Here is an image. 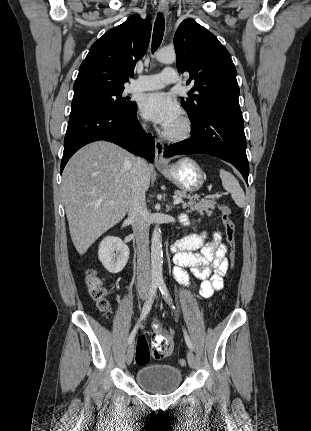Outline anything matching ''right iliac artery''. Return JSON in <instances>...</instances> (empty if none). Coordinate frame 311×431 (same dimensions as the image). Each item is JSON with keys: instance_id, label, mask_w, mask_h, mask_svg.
<instances>
[{"instance_id": "obj_1", "label": "right iliac artery", "mask_w": 311, "mask_h": 431, "mask_svg": "<svg viewBox=\"0 0 311 431\" xmlns=\"http://www.w3.org/2000/svg\"><path fill=\"white\" fill-rule=\"evenodd\" d=\"M157 288H158V284L157 283H152L151 284V288L150 291L148 293V297L147 300L145 301L144 305H143V309L140 315V318L138 320V323L136 324V326L134 327L133 331L131 332L129 339H128V344H132V342L134 341L138 326L140 324V322L142 320L145 319V317L147 316V314L150 312L152 304H153V299L155 297V294L157 292Z\"/></svg>"}]
</instances>
